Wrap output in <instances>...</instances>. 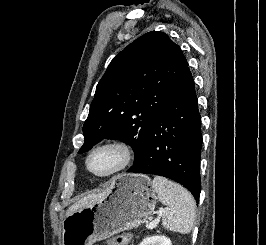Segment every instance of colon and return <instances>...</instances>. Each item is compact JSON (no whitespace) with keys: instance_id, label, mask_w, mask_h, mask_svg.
I'll use <instances>...</instances> for the list:
<instances>
[{"instance_id":"5ec220e1","label":"colon","mask_w":266,"mask_h":245,"mask_svg":"<svg viewBox=\"0 0 266 245\" xmlns=\"http://www.w3.org/2000/svg\"><path fill=\"white\" fill-rule=\"evenodd\" d=\"M129 238H130L129 232L121 233L115 238V245H127Z\"/></svg>"}]
</instances>
